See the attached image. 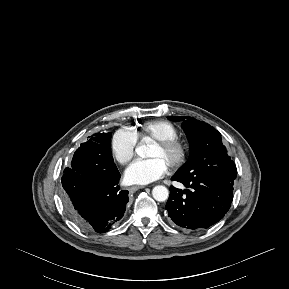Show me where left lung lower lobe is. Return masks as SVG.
I'll return each mask as SVG.
<instances>
[{"label": "left lung lower lobe", "mask_w": 289, "mask_h": 289, "mask_svg": "<svg viewBox=\"0 0 289 289\" xmlns=\"http://www.w3.org/2000/svg\"><path fill=\"white\" fill-rule=\"evenodd\" d=\"M172 180L179 181L190 189L171 186L166 204L168 220L174 226L185 229H206L221 220L233 200V186L216 177L185 179L175 174Z\"/></svg>", "instance_id": "obj_1"}]
</instances>
